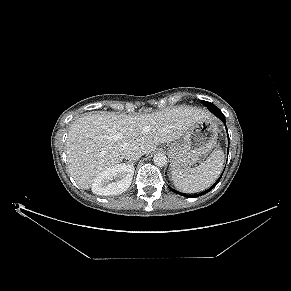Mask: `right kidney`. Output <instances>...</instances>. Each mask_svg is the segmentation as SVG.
Returning <instances> with one entry per match:
<instances>
[{
	"label": "right kidney",
	"instance_id": "obj_1",
	"mask_svg": "<svg viewBox=\"0 0 291 291\" xmlns=\"http://www.w3.org/2000/svg\"><path fill=\"white\" fill-rule=\"evenodd\" d=\"M134 167L118 164L101 172L92 183V192L96 195H117L124 192L131 184ZM115 179L114 182H110Z\"/></svg>",
	"mask_w": 291,
	"mask_h": 291
}]
</instances>
